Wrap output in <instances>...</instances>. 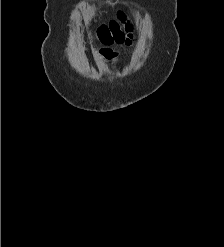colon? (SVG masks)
<instances>
[{
  "label": "colon",
  "instance_id": "1",
  "mask_svg": "<svg viewBox=\"0 0 224 247\" xmlns=\"http://www.w3.org/2000/svg\"><path fill=\"white\" fill-rule=\"evenodd\" d=\"M125 21V15L119 14L117 19L101 24L96 30L98 37L101 40H107L119 36L124 33V31H128L130 29V25L126 24Z\"/></svg>",
  "mask_w": 224,
  "mask_h": 247
}]
</instances>
